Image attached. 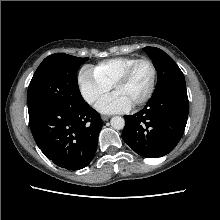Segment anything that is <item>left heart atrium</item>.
Listing matches in <instances>:
<instances>
[{
	"label": "left heart atrium",
	"instance_id": "39dd6f15",
	"mask_svg": "<svg viewBox=\"0 0 220 220\" xmlns=\"http://www.w3.org/2000/svg\"><path fill=\"white\" fill-rule=\"evenodd\" d=\"M132 105L118 93L103 98L96 106L104 114L122 113L128 111Z\"/></svg>",
	"mask_w": 220,
	"mask_h": 220
}]
</instances>
